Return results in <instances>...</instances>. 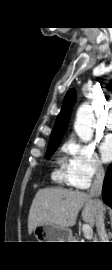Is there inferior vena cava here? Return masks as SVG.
<instances>
[{
    "mask_svg": "<svg viewBox=\"0 0 112 270\" xmlns=\"http://www.w3.org/2000/svg\"><path fill=\"white\" fill-rule=\"evenodd\" d=\"M104 180V169L101 165L96 166V176L94 182L89 191V195L92 196L97 204V214H96V229L99 236V242H108V237L104 227V213H103V204L99 199L102 191V185Z\"/></svg>",
    "mask_w": 112,
    "mask_h": 270,
    "instance_id": "inferior-vena-cava-1",
    "label": "inferior vena cava"
}]
</instances>
